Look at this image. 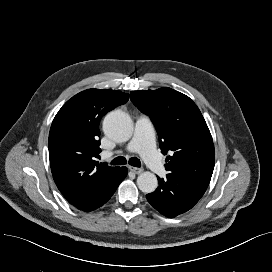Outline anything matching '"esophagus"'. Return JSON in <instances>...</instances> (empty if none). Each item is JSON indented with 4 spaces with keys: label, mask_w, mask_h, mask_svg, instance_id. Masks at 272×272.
Instances as JSON below:
<instances>
[{
    "label": "esophagus",
    "mask_w": 272,
    "mask_h": 272,
    "mask_svg": "<svg viewBox=\"0 0 272 272\" xmlns=\"http://www.w3.org/2000/svg\"><path fill=\"white\" fill-rule=\"evenodd\" d=\"M130 171L134 172L135 174H140L143 172L142 168H137V167H133V166H129Z\"/></svg>",
    "instance_id": "esophagus-1"
}]
</instances>
